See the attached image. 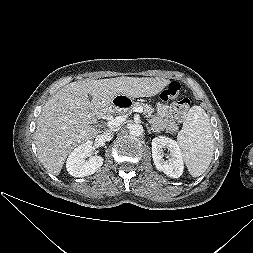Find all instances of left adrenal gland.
<instances>
[{
  "mask_svg": "<svg viewBox=\"0 0 253 253\" xmlns=\"http://www.w3.org/2000/svg\"><path fill=\"white\" fill-rule=\"evenodd\" d=\"M148 131H149V132H150V131H153V132H157V133L160 132L158 129H156V128H154V127H151V129H149Z\"/></svg>",
  "mask_w": 253,
  "mask_h": 253,
  "instance_id": "a2214340",
  "label": "left adrenal gland"
}]
</instances>
